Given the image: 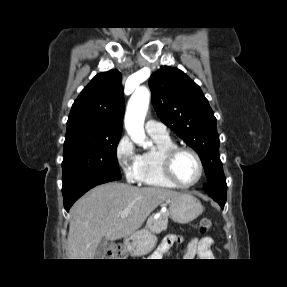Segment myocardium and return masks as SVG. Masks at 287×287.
Returning <instances> with one entry per match:
<instances>
[{"instance_id":"1","label":"myocardium","mask_w":287,"mask_h":287,"mask_svg":"<svg viewBox=\"0 0 287 287\" xmlns=\"http://www.w3.org/2000/svg\"><path fill=\"white\" fill-rule=\"evenodd\" d=\"M181 152H188L192 154L194 158L196 159L198 166H199L198 177L192 183H189V184L181 183L176 177L175 172H174V160L176 156ZM162 166H163V170H164L166 177L179 188H191L197 185L202 179L203 174H204V164H203V161L200 155L193 148H190L187 146L176 145L164 151L162 154Z\"/></svg>"}]
</instances>
